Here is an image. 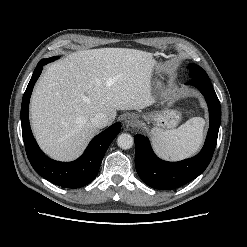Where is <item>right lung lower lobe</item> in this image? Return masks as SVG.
Listing matches in <instances>:
<instances>
[{
	"mask_svg": "<svg viewBox=\"0 0 247 247\" xmlns=\"http://www.w3.org/2000/svg\"><path fill=\"white\" fill-rule=\"evenodd\" d=\"M54 61L53 58L42 59L36 66L32 78L23 95L21 106L22 136L27 157L34 170L51 183L66 187L79 188L89 184L97 175L102 159L117 134L121 130L117 122L94 137L84 154L72 162H58L48 158L37 145L29 124L28 109L30 96L43 66Z\"/></svg>",
	"mask_w": 247,
	"mask_h": 247,
	"instance_id": "obj_1",
	"label": "right lung lower lobe"
}]
</instances>
